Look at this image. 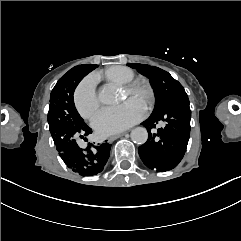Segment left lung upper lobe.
<instances>
[{
  "mask_svg": "<svg viewBox=\"0 0 241 241\" xmlns=\"http://www.w3.org/2000/svg\"><path fill=\"white\" fill-rule=\"evenodd\" d=\"M128 66L137 69L138 72L150 79L156 98L152 114L159 112L177 97L187 96L183 86L168 72L146 64L129 63Z\"/></svg>",
  "mask_w": 241,
  "mask_h": 241,
  "instance_id": "5c2ea615",
  "label": "left lung upper lobe"
}]
</instances>
